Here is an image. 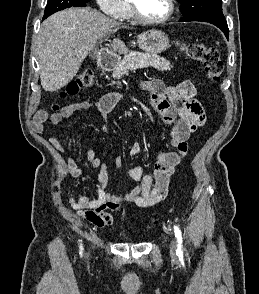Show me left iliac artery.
<instances>
[{
	"mask_svg": "<svg viewBox=\"0 0 259 294\" xmlns=\"http://www.w3.org/2000/svg\"><path fill=\"white\" fill-rule=\"evenodd\" d=\"M174 233L178 243L176 253L180 255L183 253V245H182L183 240H182V233L178 226H174Z\"/></svg>",
	"mask_w": 259,
	"mask_h": 294,
	"instance_id": "obj_1",
	"label": "left iliac artery"
}]
</instances>
